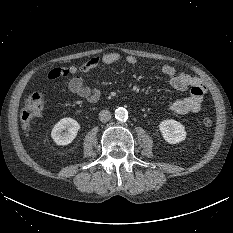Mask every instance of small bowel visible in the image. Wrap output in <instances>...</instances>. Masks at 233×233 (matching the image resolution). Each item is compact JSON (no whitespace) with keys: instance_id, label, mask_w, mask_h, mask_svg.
Masks as SVG:
<instances>
[{"instance_id":"small-bowel-1","label":"small bowel","mask_w":233,"mask_h":233,"mask_svg":"<svg viewBox=\"0 0 233 233\" xmlns=\"http://www.w3.org/2000/svg\"><path fill=\"white\" fill-rule=\"evenodd\" d=\"M122 59L118 53H106L86 61L81 67L69 66L67 68H55L47 75V80H55L63 75H71L69 81V90L75 95L85 99L88 103H96L101 93L98 89L86 86L83 79L77 75L78 72L87 73L103 65H111ZM125 61L128 64H136L137 58L134 55H127ZM159 72L169 78L171 86L179 91L190 90V95L185 98L170 102L166 109L176 114L197 113L201 110L204 95L206 93L205 83L194 76L186 73H178L176 68L170 65H164Z\"/></svg>"}]
</instances>
